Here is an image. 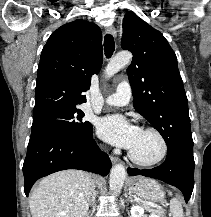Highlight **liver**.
I'll return each instance as SVG.
<instances>
[{"mask_svg": "<svg viewBox=\"0 0 211 217\" xmlns=\"http://www.w3.org/2000/svg\"><path fill=\"white\" fill-rule=\"evenodd\" d=\"M94 186L92 175L81 170L51 174L30 193L32 217H86Z\"/></svg>", "mask_w": 211, "mask_h": 217, "instance_id": "liver-1", "label": "liver"}]
</instances>
